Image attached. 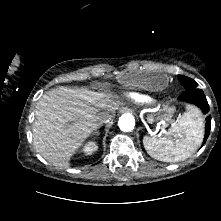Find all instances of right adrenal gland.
<instances>
[{
    "instance_id": "right-adrenal-gland-1",
    "label": "right adrenal gland",
    "mask_w": 221,
    "mask_h": 221,
    "mask_svg": "<svg viewBox=\"0 0 221 221\" xmlns=\"http://www.w3.org/2000/svg\"><path fill=\"white\" fill-rule=\"evenodd\" d=\"M93 134L98 136L100 133L98 130H96L95 132H93Z\"/></svg>"
}]
</instances>
